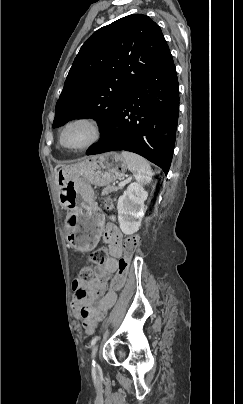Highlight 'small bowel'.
Wrapping results in <instances>:
<instances>
[{"label":"small bowel","instance_id":"obj_1","mask_svg":"<svg viewBox=\"0 0 243 404\" xmlns=\"http://www.w3.org/2000/svg\"><path fill=\"white\" fill-rule=\"evenodd\" d=\"M104 241L109 244L112 257L98 268L97 277L88 283L79 280L73 282L72 307L76 316L82 319L88 334L97 329L98 323L106 316L117 298L116 292L107 288V283L111 274L118 269L117 258L122 254V234L114 225L108 224Z\"/></svg>","mask_w":243,"mask_h":404}]
</instances>
